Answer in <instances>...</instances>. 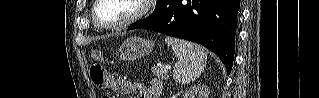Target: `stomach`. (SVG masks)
I'll return each instance as SVG.
<instances>
[{
    "label": "stomach",
    "mask_w": 319,
    "mask_h": 98,
    "mask_svg": "<svg viewBox=\"0 0 319 98\" xmlns=\"http://www.w3.org/2000/svg\"><path fill=\"white\" fill-rule=\"evenodd\" d=\"M155 46L152 40L130 37L121 46L119 55L122 60H134L150 53Z\"/></svg>",
    "instance_id": "0dacf381"
}]
</instances>
